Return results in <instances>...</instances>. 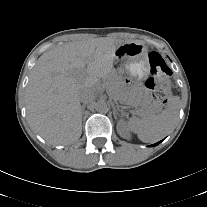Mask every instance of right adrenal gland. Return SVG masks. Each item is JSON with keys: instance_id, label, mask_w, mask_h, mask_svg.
<instances>
[{"instance_id": "1", "label": "right adrenal gland", "mask_w": 207, "mask_h": 207, "mask_svg": "<svg viewBox=\"0 0 207 207\" xmlns=\"http://www.w3.org/2000/svg\"><path fill=\"white\" fill-rule=\"evenodd\" d=\"M85 106H86V104H83L82 105V113L84 114V112H85Z\"/></svg>"}]
</instances>
